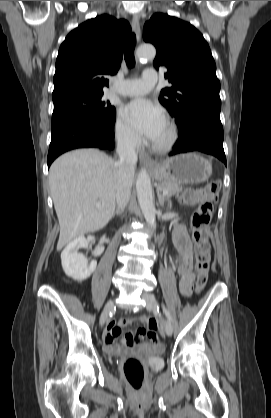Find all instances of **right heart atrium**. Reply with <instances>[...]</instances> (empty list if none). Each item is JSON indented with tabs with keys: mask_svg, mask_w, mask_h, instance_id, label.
Listing matches in <instances>:
<instances>
[{
	"mask_svg": "<svg viewBox=\"0 0 271 418\" xmlns=\"http://www.w3.org/2000/svg\"><path fill=\"white\" fill-rule=\"evenodd\" d=\"M114 136L118 146L125 151H135L140 145L139 135L118 114L114 123Z\"/></svg>",
	"mask_w": 271,
	"mask_h": 418,
	"instance_id": "obj_1",
	"label": "right heart atrium"
}]
</instances>
